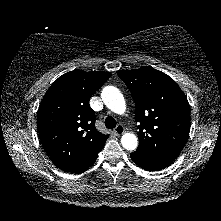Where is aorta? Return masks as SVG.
<instances>
[{
    "mask_svg": "<svg viewBox=\"0 0 221 221\" xmlns=\"http://www.w3.org/2000/svg\"><path fill=\"white\" fill-rule=\"evenodd\" d=\"M104 104L114 113L123 114L126 110L125 99L120 90L114 86H106L101 93ZM122 146L127 150H135L138 139L132 133H124L121 138Z\"/></svg>",
    "mask_w": 221,
    "mask_h": 221,
    "instance_id": "aorta-1",
    "label": "aorta"
}]
</instances>
